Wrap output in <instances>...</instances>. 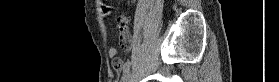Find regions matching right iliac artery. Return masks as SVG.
Wrapping results in <instances>:
<instances>
[{"label":"right iliac artery","mask_w":279,"mask_h":82,"mask_svg":"<svg viewBox=\"0 0 279 82\" xmlns=\"http://www.w3.org/2000/svg\"><path fill=\"white\" fill-rule=\"evenodd\" d=\"M130 65H131V62L127 61L124 66H123V76H122V81H124L126 75L128 74L129 72V69H130Z\"/></svg>","instance_id":"right-iliac-artery-1"}]
</instances>
